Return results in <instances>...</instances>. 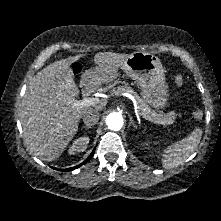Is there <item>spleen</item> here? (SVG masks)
<instances>
[{
	"instance_id": "3e777b00",
	"label": "spleen",
	"mask_w": 221,
	"mask_h": 221,
	"mask_svg": "<svg viewBox=\"0 0 221 221\" xmlns=\"http://www.w3.org/2000/svg\"><path fill=\"white\" fill-rule=\"evenodd\" d=\"M202 136V130L196 128L185 139L175 142L164 149L162 154V167L171 169L182 164L197 148Z\"/></svg>"
}]
</instances>
